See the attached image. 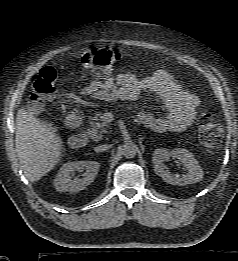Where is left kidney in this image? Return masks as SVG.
<instances>
[{
  "label": "left kidney",
  "instance_id": "5707ae66",
  "mask_svg": "<svg viewBox=\"0 0 238 261\" xmlns=\"http://www.w3.org/2000/svg\"><path fill=\"white\" fill-rule=\"evenodd\" d=\"M170 157L177 158L186 167L188 173L180 177L173 176L164 165ZM153 164L155 173L160 176L164 182L172 185H187L200 182L203 178V171L194 155L186 149L177 148L168 151L165 148L155 149L153 152Z\"/></svg>",
  "mask_w": 238,
  "mask_h": 261
}]
</instances>
